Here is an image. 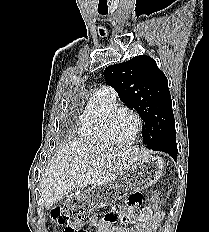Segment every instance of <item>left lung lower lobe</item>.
<instances>
[{
	"label": "left lung lower lobe",
	"instance_id": "0a47b994",
	"mask_svg": "<svg viewBox=\"0 0 209 232\" xmlns=\"http://www.w3.org/2000/svg\"><path fill=\"white\" fill-rule=\"evenodd\" d=\"M163 152L170 154L174 160L177 159V143H176V138L167 141L166 144L163 145L161 148Z\"/></svg>",
	"mask_w": 209,
	"mask_h": 232
}]
</instances>
